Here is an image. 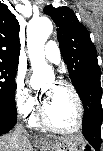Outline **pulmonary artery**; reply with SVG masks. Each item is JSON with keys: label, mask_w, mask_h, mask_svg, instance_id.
I'll list each match as a JSON object with an SVG mask.
<instances>
[{"label": "pulmonary artery", "mask_w": 103, "mask_h": 151, "mask_svg": "<svg viewBox=\"0 0 103 151\" xmlns=\"http://www.w3.org/2000/svg\"><path fill=\"white\" fill-rule=\"evenodd\" d=\"M44 55L49 61L53 63L59 64L61 62L60 49L57 43L54 41H48L46 43L44 48Z\"/></svg>", "instance_id": "e3ab8cb5"}]
</instances>
